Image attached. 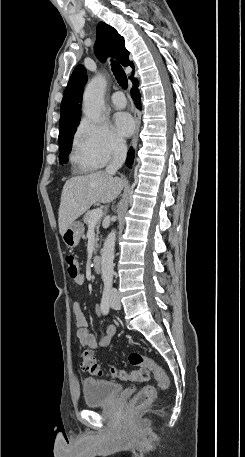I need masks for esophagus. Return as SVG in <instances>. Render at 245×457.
I'll list each match as a JSON object with an SVG mask.
<instances>
[{"label":"esophagus","instance_id":"esophagus-1","mask_svg":"<svg viewBox=\"0 0 245 457\" xmlns=\"http://www.w3.org/2000/svg\"><path fill=\"white\" fill-rule=\"evenodd\" d=\"M134 119L136 122V128H135V132H134L133 139H132V145L135 147V145L138 142V135H139L140 124H141V115H140L138 108L134 109Z\"/></svg>","mask_w":245,"mask_h":457}]
</instances>
